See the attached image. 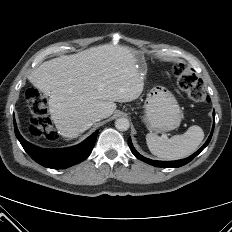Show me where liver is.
<instances>
[{
  "mask_svg": "<svg viewBox=\"0 0 232 232\" xmlns=\"http://www.w3.org/2000/svg\"><path fill=\"white\" fill-rule=\"evenodd\" d=\"M144 62L127 46L105 44L43 62L29 76L45 95L60 135L75 138L87 130L91 114L103 118L115 102L137 99L144 87Z\"/></svg>",
  "mask_w": 232,
  "mask_h": 232,
  "instance_id": "obj_1",
  "label": "liver"
}]
</instances>
